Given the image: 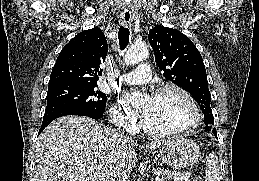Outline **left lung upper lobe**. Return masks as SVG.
I'll return each mask as SVG.
<instances>
[{
  "instance_id": "left-lung-upper-lobe-1",
  "label": "left lung upper lobe",
  "mask_w": 259,
  "mask_h": 181,
  "mask_svg": "<svg viewBox=\"0 0 259 181\" xmlns=\"http://www.w3.org/2000/svg\"><path fill=\"white\" fill-rule=\"evenodd\" d=\"M148 39L163 76L193 96L205 115V125L214 124L205 65L193 42L182 32L162 25L151 29ZM212 133L217 134L215 128Z\"/></svg>"
}]
</instances>
